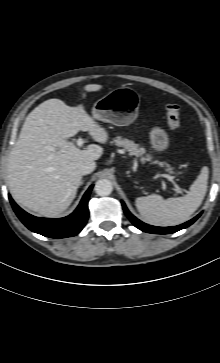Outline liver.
<instances>
[{"label":"liver","instance_id":"liver-1","mask_svg":"<svg viewBox=\"0 0 220 363\" xmlns=\"http://www.w3.org/2000/svg\"><path fill=\"white\" fill-rule=\"evenodd\" d=\"M100 89L97 84L84 86L86 92ZM79 131L102 144L109 138L82 104L70 107L49 99L28 114L7 166L10 193L19 205L44 217L59 216L70 206L81 185V164L103 154L98 145L80 150L68 141Z\"/></svg>","mask_w":220,"mask_h":363}]
</instances>
